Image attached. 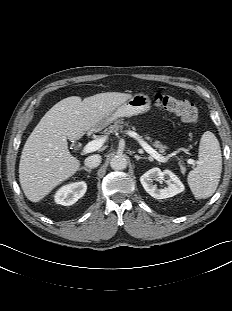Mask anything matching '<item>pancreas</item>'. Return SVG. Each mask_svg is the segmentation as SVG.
<instances>
[{"label":"pancreas","mask_w":232,"mask_h":311,"mask_svg":"<svg viewBox=\"0 0 232 311\" xmlns=\"http://www.w3.org/2000/svg\"><path fill=\"white\" fill-rule=\"evenodd\" d=\"M124 125L128 126V123L124 124V121L122 119H119L113 125H110L108 130H105V133L106 134H110V133L116 134L123 129ZM133 129L135 130L134 127H133ZM145 139L149 140L150 142L152 141V139L147 135L145 136ZM152 145L155 148H157L160 153H164L166 148H167L165 145H163L158 140L154 141Z\"/></svg>","instance_id":"pancreas-1"}]
</instances>
